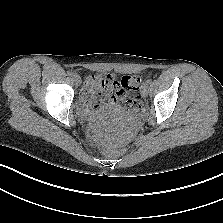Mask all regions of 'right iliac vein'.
I'll use <instances>...</instances> for the list:
<instances>
[{
	"label": "right iliac vein",
	"instance_id": "obj_1",
	"mask_svg": "<svg viewBox=\"0 0 223 223\" xmlns=\"http://www.w3.org/2000/svg\"><path fill=\"white\" fill-rule=\"evenodd\" d=\"M73 79H74V82H75V84L77 86H80L81 85L82 81H81V78H80V76L78 74H74L73 75Z\"/></svg>",
	"mask_w": 223,
	"mask_h": 223
}]
</instances>
